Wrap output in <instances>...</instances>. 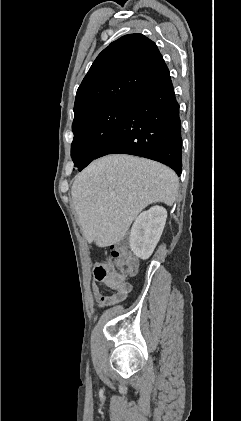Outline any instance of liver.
<instances>
[{"label":"liver","instance_id":"6515ba94","mask_svg":"<svg viewBox=\"0 0 241 421\" xmlns=\"http://www.w3.org/2000/svg\"><path fill=\"white\" fill-rule=\"evenodd\" d=\"M176 173L158 162L125 154L93 161L71 187L83 236L98 247L117 244L149 204L172 206L178 196Z\"/></svg>","mask_w":241,"mask_h":421}]
</instances>
